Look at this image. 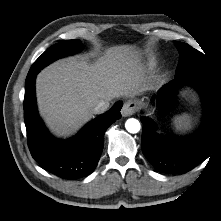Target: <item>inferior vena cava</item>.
Instances as JSON below:
<instances>
[{
  "instance_id": "1",
  "label": "inferior vena cava",
  "mask_w": 221,
  "mask_h": 221,
  "mask_svg": "<svg viewBox=\"0 0 221 221\" xmlns=\"http://www.w3.org/2000/svg\"><path fill=\"white\" fill-rule=\"evenodd\" d=\"M110 103L108 101L101 100L93 109L94 114H102L108 110Z\"/></svg>"
}]
</instances>
